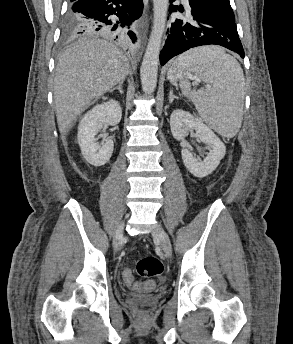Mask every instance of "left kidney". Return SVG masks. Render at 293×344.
Wrapping results in <instances>:
<instances>
[{
  "label": "left kidney",
  "mask_w": 293,
  "mask_h": 344,
  "mask_svg": "<svg viewBox=\"0 0 293 344\" xmlns=\"http://www.w3.org/2000/svg\"><path fill=\"white\" fill-rule=\"evenodd\" d=\"M170 127L173 137L178 141L183 140L189 131L195 130L196 137L208 145L209 153L203 161H198L183 147L181 155L184 165L195 177L203 178L211 174L226 153V147L220 138L201 119L184 110L172 112Z\"/></svg>",
  "instance_id": "1"
}]
</instances>
